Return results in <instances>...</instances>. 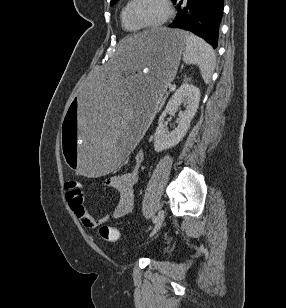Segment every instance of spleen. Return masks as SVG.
<instances>
[{
  "instance_id": "obj_1",
  "label": "spleen",
  "mask_w": 286,
  "mask_h": 308,
  "mask_svg": "<svg viewBox=\"0 0 286 308\" xmlns=\"http://www.w3.org/2000/svg\"><path fill=\"white\" fill-rule=\"evenodd\" d=\"M187 40L183 61L197 65L205 83H209L215 68L216 57L213 48L202 38L186 32Z\"/></svg>"
}]
</instances>
